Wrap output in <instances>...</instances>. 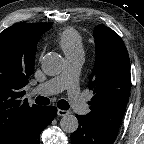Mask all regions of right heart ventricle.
Returning a JSON list of instances; mask_svg holds the SVG:
<instances>
[{"label":"right heart ventricle","mask_w":144,"mask_h":144,"mask_svg":"<svg viewBox=\"0 0 144 144\" xmlns=\"http://www.w3.org/2000/svg\"><path fill=\"white\" fill-rule=\"evenodd\" d=\"M57 42L67 56L83 54V41L79 32L71 27L64 28L58 33Z\"/></svg>","instance_id":"1"}]
</instances>
